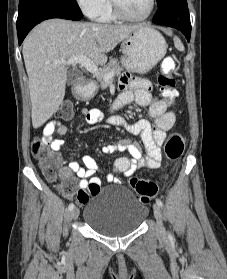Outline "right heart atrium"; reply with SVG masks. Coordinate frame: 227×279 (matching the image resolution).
I'll list each match as a JSON object with an SVG mask.
<instances>
[{"label": "right heart atrium", "mask_w": 227, "mask_h": 279, "mask_svg": "<svg viewBox=\"0 0 227 279\" xmlns=\"http://www.w3.org/2000/svg\"><path fill=\"white\" fill-rule=\"evenodd\" d=\"M82 11L90 17H98L109 5V0H75Z\"/></svg>", "instance_id": "obj_1"}]
</instances>
